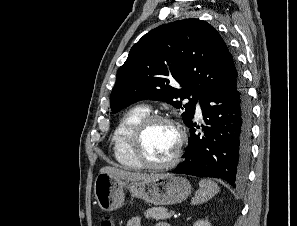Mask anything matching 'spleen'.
I'll return each mask as SVG.
<instances>
[{
  "instance_id": "obj_1",
  "label": "spleen",
  "mask_w": 297,
  "mask_h": 226,
  "mask_svg": "<svg viewBox=\"0 0 297 226\" xmlns=\"http://www.w3.org/2000/svg\"><path fill=\"white\" fill-rule=\"evenodd\" d=\"M218 192L219 187L215 182L209 179H201L199 189L195 193L191 203L194 205L204 203L214 197Z\"/></svg>"
}]
</instances>
